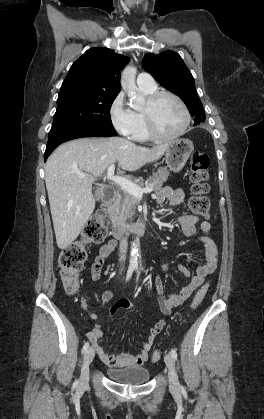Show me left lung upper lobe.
Listing matches in <instances>:
<instances>
[{"mask_svg": "<svg viewBox=\"0 0 264 419\" xmlns=\"http://www.w3.org/2000/svg\"><path fill=\"white\" fill-rule=\"evenodd\" d=\"M142 66L163 87L184 101L191 115L195 117L194 120L199 116L206 118L192 74L178 53L173 51H164L157 55L147 53Z\"/></svg>", "mask_w": 264, "mask_h": 419, "instance_id": "left-lung-upper-lobe-1", "label": "left lung upper lobe"}]
</instances>
